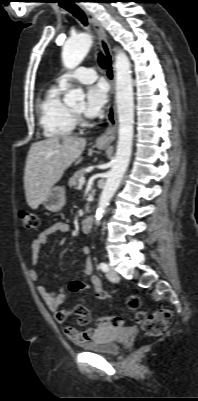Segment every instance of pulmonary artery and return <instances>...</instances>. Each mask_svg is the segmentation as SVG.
Segmentation results:
<instances>
[{
  "mask_svg": "<svg viewBox=\"0 0 198 401\" xmlns=\"http://www.w3.org/2000/svg\"><path fill=\"white\" fill-rule=\"evenodd\" d=\"M97 78V73L92 68L82 67L75 73H65L58 78V83L62 87L68 86L71 80H76L84 84L92 83Z\"/></svg>",
  "mask_w": 198,
  "mask_h": 401,
  "instance_id": "e3ab8cb5",
  "label": "pulmonary artery"
}]
</instances>
